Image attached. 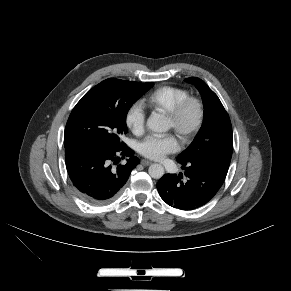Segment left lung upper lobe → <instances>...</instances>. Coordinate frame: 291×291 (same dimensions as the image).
I'll list each match as a JSON object with an SVG mask.
<instances>
[{
  "mask_svg": "<svg viewBox=\"0 0 291 291\" xmlns=\"http://www.w3.org/2000/svg\"><path fill=\"white\" fill-rule=\"evenodd\" d=\"M201 93L204 120L193 142L177 157L179 163L197 159H211L230 164L233 138L229 116L218 96L196 77L187 78Z\"/></svg>",
  "mask_w": 291,
  "mask_h": 291,
  "instance_id": "1",
  "label": "left lung upper lobe"
}]
</instances>
